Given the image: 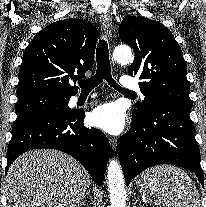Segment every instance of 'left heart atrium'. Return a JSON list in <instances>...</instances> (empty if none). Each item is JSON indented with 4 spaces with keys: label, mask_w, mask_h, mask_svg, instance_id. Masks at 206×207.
<instances>
[{
    "label": "left heart atrium",
    "mask_w": 206,
    "mask_h": 207,
    "mask_svg": "<svg viewBox=\"0 0 206 207\" xmlns=\"http://www.w3.org/2000/svg\"><path fill=\"white\" fill-rule=\"evenodd\" d=\"M90 119L94 126L113 135L123 132L126 125L125 113L116 103H105L97 106L92 111Z\"/></svg>",
    "instance_id": "obj_1"
}]
</instances>
